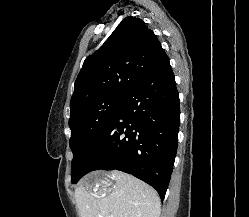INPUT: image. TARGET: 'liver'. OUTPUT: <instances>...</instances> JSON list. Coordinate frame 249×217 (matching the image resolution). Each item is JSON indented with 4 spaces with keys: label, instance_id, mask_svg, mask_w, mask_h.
Masks as SVG:
<instances>
[{
    "label": "liver",
    "instance_id": "liver-1",
    "mask_svg": "<svg viewBox=\"0 0 249 217\" xmlns=\"http://www.w3.org/2000/svg\"><path fill=\"white\" fill-rule=\"evenodd\" d=\"M110 179L115 181L111 185ZM87 181L101 186L96 192L79 185L75 199L80 217H159L157 192L146 183L121 171L94 172Z\"/></svg>",
    "mask_w": 249,
    "mask_h": 217
}]
</instances>
